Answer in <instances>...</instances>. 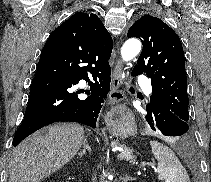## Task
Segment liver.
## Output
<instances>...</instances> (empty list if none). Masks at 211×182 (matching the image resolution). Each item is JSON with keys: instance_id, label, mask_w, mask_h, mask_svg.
<instances>
[{"instance_id": "liver-1", "label": "liver", "mask_w": 211, "mask_h": 182, "mask_svg": "<svg viewBox=\"0 0 211 182\" xmlns=\"http://www.w3.org/2000/svg\"><path fill=\"white\" fill-rule=\"evenodd\" d=\"M85 139L84 128L71 123L37 131L11 153L9 182H40L67 164Z\"/></svg>"}]
</instances>
